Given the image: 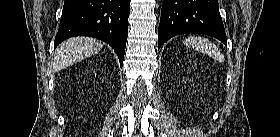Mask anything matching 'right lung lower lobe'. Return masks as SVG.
<instances>
[{"label": "right lung lower lobe", "mask_w": 280, "mask_h": 137, "mask_svg": "<svg viewBox=\"0 0 280 137\" xmlns=\"http://www.w3.org/2000/svg\"><path fill=\"white\" fill-rule=\"evenodd\" d=\"M130 0H65L55 47L67 38L89 36L108 43L122 66Z\"/></svg>", "instance_id": "obj_1"}]
</instances>
